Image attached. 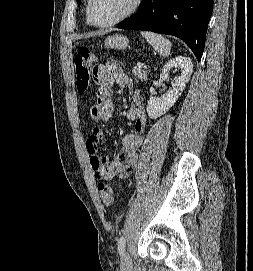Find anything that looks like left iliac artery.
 I'll list each match as a JSON object with an SVG mask.
<instances>
[{"label":"left iliac artery","mask_w":253,"mask_h":271,"mask_svg":"<svg viewBox=\"0 0 253 271\" xmlns=\"http://www.w3.org/2000/svg\"><path fill=\"white\" fill-rule=\"evenodd\" d=\"M126 241L124 236H121L118 240V251L120 255H123L125 251Z\"/></svg>","instance_id":"1"}]
</instances>
